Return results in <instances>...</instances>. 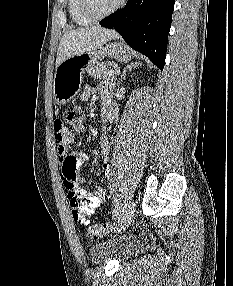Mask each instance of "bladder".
<instances>
[{
	"label": "bladder",
	"instance_id": "obj_1",
	"mask_svg": "<svg viewBox=\"0 0 233 286\" xmlns=\"http://www.w3.org/2000/svg\"><path fill=\"white\" fill-rule=\"evenodd\" d=\"M133 245L129 239L119 241L101 240L93 244L89 250L93 262L99 263L105 260H122L132 251Z\"/></svg>",
	"mask_w": 233,
	"mask_h": 286
}]
</instances>
